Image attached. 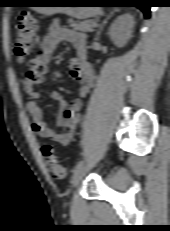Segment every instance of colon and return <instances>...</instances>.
Segmentation results:
<instances>
[{
    "label": "colon",
    "instance_id": "1",
    "mask_svg": "<svg viewBox=\"0 0 170 231\" xmlns=\"http://www.w3.org/2000/svg\"><path fill=\"white\" fill-rule=\"evenodd\" d=\"M16 42L14 53L19 61H23L34 50L36 45L37 23L27 11L18 14L15 22ZM41 152L47 160L51 173L58 179L66 177V169L57 160L54 149L49 144L41 147Z\"/></svg>",
    "mask_w": 170,
    "mask_h": 231
}]
</instances>
